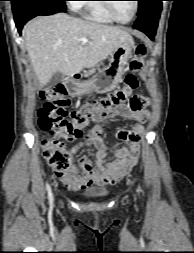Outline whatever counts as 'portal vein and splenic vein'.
Segmentation results:
<instances>
[{"label":"portal vein and splenic vein","instance_id":"obj_1","mask_svg":"<svg viewBox=\"0 0 194 253\" xmlns=\"http://www.w3.org/2000/svg\"><path fill=\"white\" fill-rule=\"evenodd\" d=\"M80 42H81L82 44H86V43L88 42V39H86V38H81V39H80Z\"/></svg>","mask_w":194,"mask_h":253}]
</instances>
